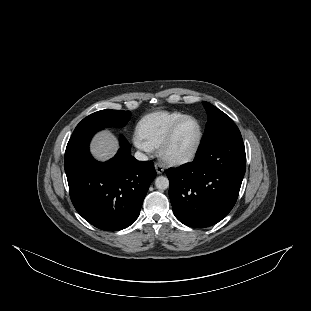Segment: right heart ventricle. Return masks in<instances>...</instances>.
Segmentation results:
<instances>
[{"label": "right heart ventricle", "mask_w": 311, "mask_h": 311, "mask_svg": "<svg viewBox=\"0 0 311 311\" xmlns=\"http://www.w3.org/2000/svg\"><path fill=\"white\" fill-rule=\"evenodd\" d=\"M186 114L177 111H154L144 115L135 126L136 136L151 147H158L172 127Z\"/></svg>", "instance_id": "right-heart-ventricle-1"}]
</instances>
